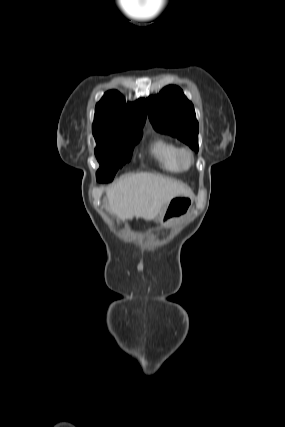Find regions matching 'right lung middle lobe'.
<instances>
[{
    "label": "right lung middle lobe",
    "mask_w": 285,
    "mask_h": 427,
    "mask_svg": "<svg viewBox=\"0 0 285 427\" xmlns=\"http://www.w3.org/2000/svg\"><path fill=\"white\" fill-rule=\"evenodd\" d=\"M97 143L95 155L100 163L99 182L113 180L117 170L130 161L135 144L142 137V128H108L93 130Z\"/></svg>",
    "instance_id": "right-lung-middle-lobe-1"
}]
</instances>
